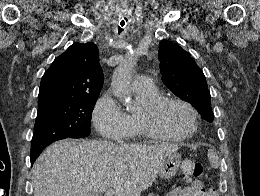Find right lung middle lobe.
<instances>
[{"instance_id": "dd1d6c3e", "label": "right lung middle lobe", "mask_w": 260, "mask_h": 196, "mask_svg": "<svg viewBox=\"0 0 260 196\" xmlns=\"http://www.w3.org/2000/svg\"><path fill=\"white\" fill-rule=\"evenodd\" d=\"M99 95H82L38 106L31 151L54 141L89 136L92 111Z\"/></svg>"}]
</instances>
